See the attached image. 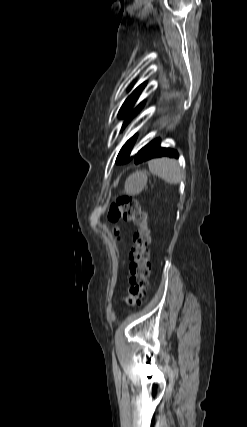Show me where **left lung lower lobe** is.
Wrapping results in <instances>:
<instances>
[{
  "instance_id": "1",
  "label": "left lung lower lobe",
  "mask_w": 247,
  "mask_h": 427,
  "mask_svg": "<svg viewBox=\"0 0 247 427\" xmlns=\"http://www.w3.org/2000/svg\"><path fill=\"white\" fill-rule=\"evenodd\" d=\"M163 156L178 158V153L177 151L169 148H162L160 146V140L155 139L154 141L143 147L140 151H138V153L134 157V162L138 164Z\"/></svg>"
}]
</instances>
